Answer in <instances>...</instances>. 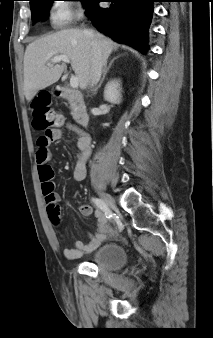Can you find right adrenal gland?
I'll use <instances>...</instances> for the list:
<instances>
[{
	"label": "right adrenal gland",
	"mask_w": 213,
	"mask_h": 338,
	"mask_svg": "<svg viewBox=\"0 0 213 338\" xmlns=\"http://www.w3.org/2000/svg\"><path fill=\"white\" fill-rule=\"evenodd\" d=\"M117 58H118V57L114 58V59L109 63L108 66H107V65L104 66L103 76H102V78H101L99 84L94 88V90H93V95H96V93H97L98 89L101 87V85H102V83H103V81H104V79H105V77H106V75H107L109 69L111 68L113 62H114Z\"/></svg>",
	"instance_id": "right-adrenal-gland-1"
}]
</instances>
